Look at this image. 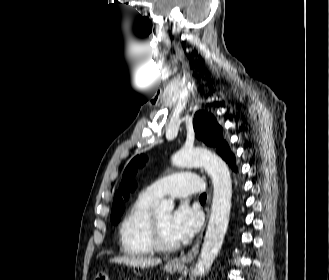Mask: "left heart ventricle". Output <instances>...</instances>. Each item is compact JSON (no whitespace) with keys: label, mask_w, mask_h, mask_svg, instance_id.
Returning <instances> with one entry per match:
<instances>
[{"label":"left heart ventricle","mask_w":329,"mask_h":280,"mask_svg":"<svg viewBox=\"0 0 329 280\" xmlns=\"http://www.w3.org/2000/svg\"><path fill=\"white\" fill-rule=\"evenodd\" d=\"M155 215H156V219L158 222V226H159L161 235L164 238V240H166L167 242H170V243L176 242L174 240V238L171 236L169 229H168L169 220H170V216H171L170 213L161 212V213H157Z\"/></svg>","instance_id":"b2bd125f"}]
</instances>
